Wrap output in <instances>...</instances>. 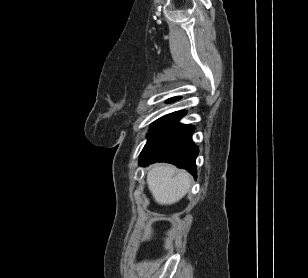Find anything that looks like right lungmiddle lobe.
Returning a JSON list of instances; mask_svg holds the SVG:
<instances>
[{
	"mask_svg": "<svg viewBox=\"0 0 308 278\" xmlns=\"http://www.w3.org/2000/svg\"><path fill=\"white\" fill-rule=\"evenodd\" d=\"M178 117L175 116H164L159 118L156 122L152 124V128L150 133L148 134V140L152 139L162 130H164L167 126H169L172 122H174Z\"/></svg>",
	"mask_w": 308,
	"mask_h": 278,
	"instance_id": "obj_1",
	"label": "right lung middle lobe"
}]
</instances>
